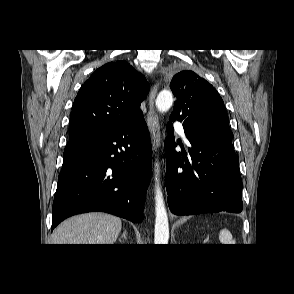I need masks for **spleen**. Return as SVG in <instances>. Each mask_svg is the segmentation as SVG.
<instances>
[{
    "label": "spleen",
    "mask_w": 294,
    "mask_h": 294,
    "mask_svg": "<svg viewBox=\"0 0 294 294\" xmlns=\"http://www.w3.org/2000/svg\"><path fill=\"white\" fill-rule=\"evenodd\" d=\"M219 240L223 244H233L234 243L232 235H231L230 231H228L227 229H222L220 231Z\"/></svg>",
    "instance_id": "spleen-1"
}]
</instances>
